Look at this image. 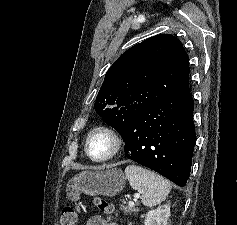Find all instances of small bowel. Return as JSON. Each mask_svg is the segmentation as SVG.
<instances>
[{"mask_svg":"<svg viewBox=\"0 0 237 225\" xmlns=\"http://www.w3.org/2000/svg\"><path fill=\"white\" fill-rule=\"evenodd\" d=\"M86 225H118L115 222L108 221L103 216L95 215L88 219Z\"/></svg>","mask_w":237,"mask_h":225,"instance_id":"c3829d8e","label":"small bowel"}]
</instances>
